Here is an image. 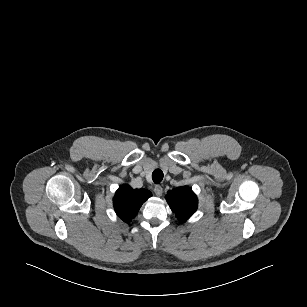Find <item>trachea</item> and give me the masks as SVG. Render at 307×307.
I'll list each match as a JSON object with an SVG mask.
<instances>
[{"label":"trachea","instance_id":"3493384b","mask_svg":"<svg viewBox=\"0 0 307 307\" xmlns=\"http://www.w3.org/2000/svg\"><path fill=\"white\" fill-rule=\"evenodd\" d=\"M153 182L159 184L163 180V172L160 169H156L152 173Z\"/></svg>","mask_w":307,"mask_h":307}]
</instances>
